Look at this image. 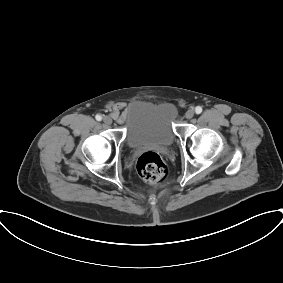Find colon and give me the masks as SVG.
<instances>
[{"instance_id": "1", "label": "colon", "mask_w": 283, "mask_h": 283, "mask_svg": "<svg viewBox=\"0 0 283 283\" xmlns=\"http://www.w3.org/2000/svg\"><path fill=\"white\" fill-rule=\"evenodd\" d=\"M137 171L143 181L158 185L167 177V166L162 158L155 152L143 153L137 161Z\"/></svg>"}]
</instances>
